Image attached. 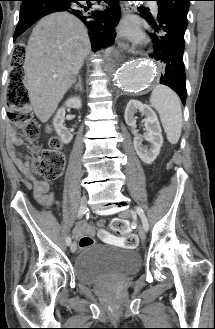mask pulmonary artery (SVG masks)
Instances as JSON below:
<instances>
[{"label":"pulmonary artery","mask_w":215,"mask_h":329,"mask_svg":"<svg viewBox=\"0 0 215 329\" xmlns=\"http://www.w3.org/2000/svg\"><path fill=\"white\" fill-rule=\"evenodd\" d=\"M151 9L154 14H157L158 8H157V4L155 2L151 3Z\"/></svg>","instance_id":"pulmonary-artery-1"}]
</instances>
